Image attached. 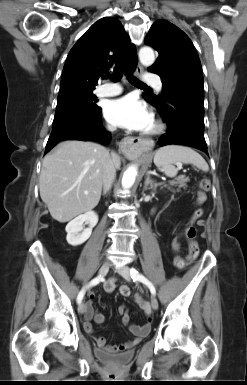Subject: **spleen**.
I'll list each match as a JSON object with an SVG mask.
<instances>
[{
	"instance_id": "1",
	"label": "spleen",
	"mask_w": 247,
	"mask_h": 385,
	"mask_svg": "<svg viewBox=\"0 0 247 385\" xmlns=\"http://www.w3.org/2000/svg\"><path fill=\"white\" fill-rule=\"evenodd\" d=\"M192 164L207 172L209 166L204 158L190 147L182 145H167L158 149L154 155V164L168 177H175L177 169L174 164Z\"/></svg>"
}]
</instances>
